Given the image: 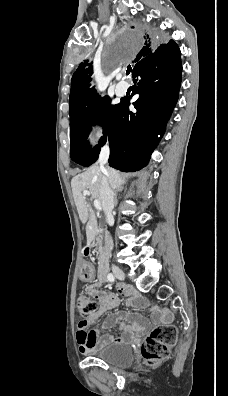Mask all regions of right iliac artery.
Wrapping results in <instances>:
<instances>
[{"label": "right iliac artery", "instance_id": "1", "mask_svg": "<svg viewBox=\"0 0 228 396\" xmlns=\"http://www.w3.org/2000/svg\"><path fill=\"white\" fill-rule=\"evenodd\" d=\"M107 279H108L110 282H114L115 277L113 276V274L109 273V274L107 275Z\"/></svg>", "mask_w": 228, "mask_h": 396}]
</instances>
